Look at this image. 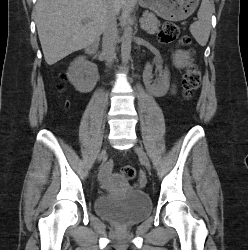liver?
<instances>
[{
    "mask_svg": "<svg viewBox=\"0 0 248 250\" xmlns=\"http://www.w3.org/2000/svg\"><path fill=\"white\" fill-rule=\"evenodd\" d=\"M125 2L38 0L35 5V21L46 63L53 65L92 44L103 32L109 9L113 7L118 15Z\"/></svg>",
    "mask_w": 248,
    "mask_h": 250,
    "instance_id": "obj_1",
    "label": "liver"
}]
</instances>
